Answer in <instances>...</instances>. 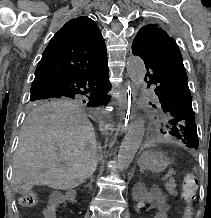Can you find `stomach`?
<instances>
[{
  "instance_id": "0dacf381",
  "label": "stomach",
  "mask_w": 211,
  "mask_h": 218,
  "mask_svg": "<svg viewBox=\"0 0 211 218\" xmlns=\"http://www.w3.org/2000/svg\"><path fill=\"white\" fill-rule=\"evenodd\" d=\"M139 164L143 170H150L158 173L166 169L168 160L160 153L146 152L141 157Z\"/></svg>"
}]
</instances>
